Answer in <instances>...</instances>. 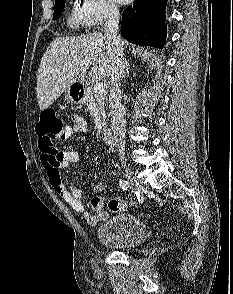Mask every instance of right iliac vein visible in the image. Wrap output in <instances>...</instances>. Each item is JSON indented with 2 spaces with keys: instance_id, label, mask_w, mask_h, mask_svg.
<instances>
[{
  "instance_id": "obj_1",
  "label": "right iliac vein",
  "mask_w": 233,
  "mask_h": 294,
  "mask_svg": "<svg viewBox=\"0 0 233 294\" xmlns=\"http://www.w3.org/2000/svg\"><path fill=\"white\" fill-rule=\"evenodd\" d=\"M124 175H125L127 181L129 182L130 187L134 191L140 192L142 190L141 185L139 184V182L137 181V179L135 178L133 172L130 169L125 168L124 169Z\"/></svg>"
}]
</instances>
